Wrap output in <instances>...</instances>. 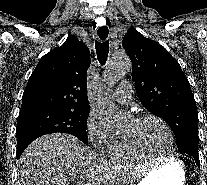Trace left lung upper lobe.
<instances>
[{
    "instance_id": "1",
    "label": "left lung upper lobe",
    "mask_w": 207,
    "mask_h": 185,
    "mask_svg": "<svg viewBox=\"0 0 207 185\" xmlns=\"http://www.w3.org/2000/svg\"><path fill=\"white\" fill-rule=\"evenodd\" d=\"M122 45L132 61V77L142 105L170 126L180 153L198 154L196 102L179 63L133 27Z\"/></svg>"
}]
</instances>
